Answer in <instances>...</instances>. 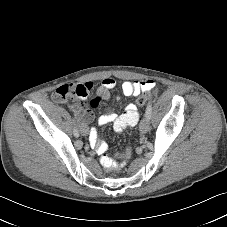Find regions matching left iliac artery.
I'll return each mask as SVG.
<instances>
[{"mask_svg": "<svg viewBox=\"0 0 227 227\" xmlns=\"http://www.w3.org/2000/svg\"><path fill=\"white\" fill-rule=\"evenodd\" d=\"M152 113V101H150L146 108V116L150 119Z\"/></svg>", "mask_w": 227, "mask_h": 227, "instance_id": "1", "label": "left iliac artery"}]
</instances>
